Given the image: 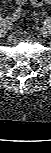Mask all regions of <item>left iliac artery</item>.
Segmentation results:
<instances>
[{"label": "left iliac artery", "instance_id": "44dca946", "mask_svg": "<svg viewBox=\"0 0 51 153\" xmlns=\"http://www.w3.org/2000/svg\"><path fill=\"white\" fill-rule=\"evenodd\" d=\"M48 23H51V18H48Z\"/></svg>", "mask_w": 51, "mask_h": 153}]
</instances>
